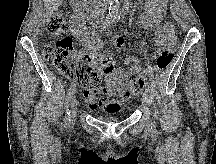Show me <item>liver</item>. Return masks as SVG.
<instances>
[{
  "instance_id": "1",
  "label": "liver",
  "mask_w": 216,
  "mask_h": 164,
  "mask_svg": "<svg viewBox=\"0 0 216 164\" xmlns=\"http://www.w3.org/2000/svg\"><path fill=\"white\" fill-rule=\"evenodd\" d=\"M63 0H44L46 6V15H52L53 11H56Z\"/></svg>"
}]
</instances>
